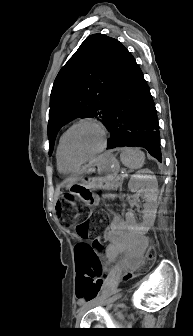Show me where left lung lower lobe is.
Segmentation results:
<instances>
[{
  "label": "left lung lower lobe",
  "instance_id": "0a47b994",
  "mask_svg": "<svg viewBox=\"0 0 193 336\" xmlns=\"http://www.w3.org/2000/svg\"><path fill=\"white\" fill-rule=\"evenodd\" d=\"M106 128L110 132L107 149L143 147L161 162L155 104L143 73L128 50L113 94Z\"/></svg>",
  "mask_w": 193,
  "mask_h": 336
}]
</instances>
